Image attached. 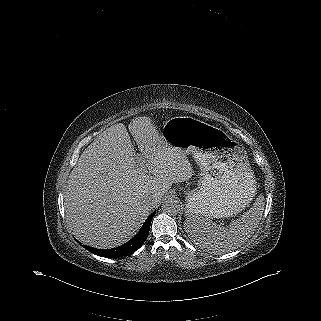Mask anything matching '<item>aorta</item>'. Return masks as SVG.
<instances>
[{"instance_id":"1","label":"aorta","mask_w":321,"mask_h":321,"mask_svg":"<svg viewBox=\"0 0 321 321\" xmlns=\"http://www.w3.org/2000/svg\"><path fill=\"white\" fill-rule=\"evenodd\" d=\"M181 209L180 202L174 197H168L162 204V210L171 215H176Z\"/></svg>"}]
</instances>
